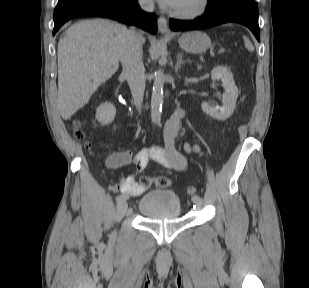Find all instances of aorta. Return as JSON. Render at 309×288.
Returning <instances> with one entry per match:
<instances>
[{
    "label": "aorta",
    "mask_w": 309,
    "mask_h": 288,
    "mask_svg": "<svg viewBox=\"0 0 309 288\" xmlns=\"http://www.w3.org/2000/svg\"><path fill=\"white\" fill-rule=\"evenodd\" d=\"M163 87L164 77L163 72L160 69L155 73V79L151 95V120L154 124H159L161 121L163 105Z\"/></svg>",
    "instance_id": "obj_1"
}]
</instances>
